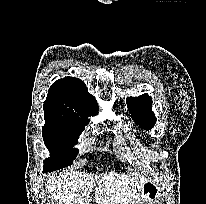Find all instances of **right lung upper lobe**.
Masks as SVG:
<instances>
[{
    "label": "right lung upper lobe",
    "mask_w": 206,
    "mask_h": 204,
    "mask_svg": "<svg viewBox=\"0 0 206 204\" xmlns=\"http://www.w3.org/2000/svg\"><path fill=\"white\" fill-rule=\"evenodd\" d=\"M45 110L74 113L85 117L98 113L94 96L85 90V84L75 77L57 80L48 91Z\"/></svg>",
    "instance_id": "cb5924a9"
}]
</instances>
